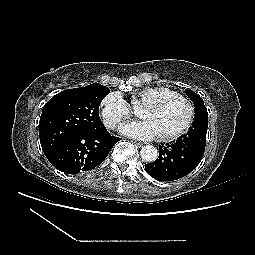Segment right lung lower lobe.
<instances>
[{
  "instance_id": "1",
  "label": "right lung lower lobe",
  "mask_w": 255,
  "mask_h": 255,
  "mask_svg": "<svg viewBox=\"0 0 255 255\" xmlns=\"http://www.w3.org/2000/svg\"><path fill=\"white\" fill-rule=\"evenodd\" d=\"M119 140L106 128L98 133L79 132L67 137L46 157L58 170L78 174L101 164Z\"/></svg>"
}]
</instances>
